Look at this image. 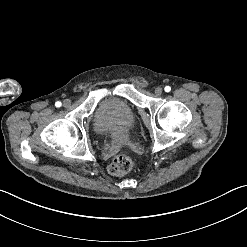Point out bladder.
Listing matches in <instances>:
<instances>
[{
  "label": "bladder",
  "mask_w": 247,
  "mask_h": 247,
  "mask_svg": "<svg viewBox=\"0 0 247 247\" xmlns=\"http://www.w3.org/2000/svg\"><path fill=\"white\" fill-rule=\"evenodd\" d=\"M135 125V112L129 101L120 98L105 99L95 109L93 129L96 134L118 133L127 139Z\"/></svg>",
  "instance_id": "bladder-1"
}]
</instances>
